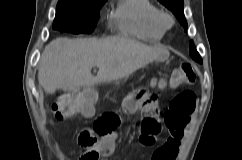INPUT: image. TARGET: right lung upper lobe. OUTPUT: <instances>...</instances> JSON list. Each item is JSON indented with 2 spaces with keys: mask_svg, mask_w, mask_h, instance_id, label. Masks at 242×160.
<instances>
[{
  "mask_svg": "<svg viewBox=\"0 0 242 160\" xmlns=\"http://www.w3.org/2000/svg\"><path fill=\"white\" fill-rule=\"evenodd\" d=\"M61 1H88V0H61Z\"/></svg>",
  "mask_w": 242,
  "mask_h": 160,
  "instance_id": "cb5924a9",
  "label": "right lung upper lobe"
}]
</instances>
